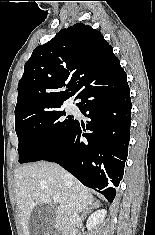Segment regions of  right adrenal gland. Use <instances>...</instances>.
Instances as JSON below:
<instances>
[{
    "label": "right adrenal gland",
    "instance_id": "1",
    "mask_svg": "<svg viewBox=\"0 0 155 235\" xmlns=\"http://www.w3.org/2000/svg\"><path fill=\"white\" fill-rule=\"evenodd\" d=\"M99 207V201H96L92 206H90L88 209L84 210L82 213V219L86 217V214L91 212L92 209Z\"/></svg>",
    "mask_w": 155,
    "mask_h": 235
}]
</instances>
